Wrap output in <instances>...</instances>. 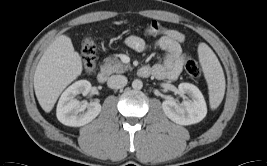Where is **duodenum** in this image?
<instances>
[{
  "label": "duodenum",
  "instance_id": "duodenum-1",
  "mask_svg": "<svg viewBox=\"0 0 267 166\" xmlns=\"http://www.w3.org/2000/svg\"><path fill=\"white\" fill-rule=\"evenodd\" d=\"M148 74V70L146 68H140L138 70V75L140 76H146ZM107 71L105 69H100L98 72H97V75H96V78L98 80V82L100 83H105L106 80H107Z\"/></svg>",
  "mask_w": 267,
  "mask_h": 166
}]
</instances>
